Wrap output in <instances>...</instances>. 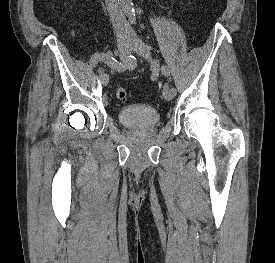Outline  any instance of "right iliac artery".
Here are the masks:
<instances>
[{
	"label": "right iliac artery",
	"mask_w": 275,
	"mask_h": 263,
	"mask_svg": "<svg viewBox=\"0 0 275 263\" xmlns=\"http://www.w3.org/2000/svg\"><path fill=\"white\" fill-rule=\"evenodd\" d=\"M100 61L106 63L109 67L118 71H124L129 66V63L127 62L119 63L115 58H113L112 53H97L93 55L90 59V65L94 67Z\"/></svg>",
	"instance_id": "82829eb1"
}]
</instances>
